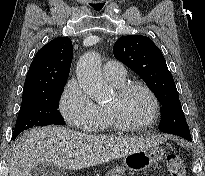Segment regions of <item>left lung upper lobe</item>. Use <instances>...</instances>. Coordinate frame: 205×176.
<instances>
[{
	"label": "left lung upper lobe",
	"mask_w": 205,
	"mask_h": 176,
	"mask_svg": "<svg viewBox=\"0 0 205 176\" xmlns=\"http://www.w3.org/2000/svg\"><path fill=\"white\" fill-rule=\"evenodd\" d=\"M113 53L145 80L162 104L160 130L191 140L172 74L154 42L141 35L123 36L115 42Z\"/></svg>",
	"instance_id": "obj_1"
}]
</instances>
